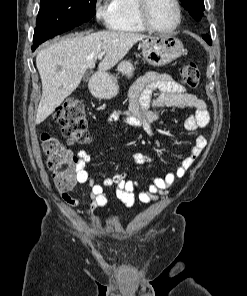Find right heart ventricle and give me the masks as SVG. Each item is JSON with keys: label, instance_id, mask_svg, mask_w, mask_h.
I'll use <instances>...</instances> for the list:
<instances>
[{"label": "right heart ventricle", "instance_id": "1", "mask_svg": "<svg viewBox=\"0 0 247 296\" xmlns=\"http://www.w3.org/2000/svg\"><path fill=\"white\" fill-rule=\"evenodd\" d=\"M137 0H112L114 18L111 29L119 32L140 33L146 28L140 23L136 12Z\"/></svg>", "mask_w": 247, "mask_h": 296}]
</instances>
